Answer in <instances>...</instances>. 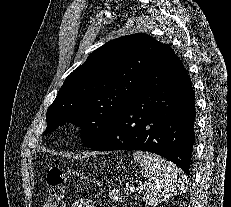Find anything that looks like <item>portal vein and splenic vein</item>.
Listing matches in <instances>:
<instances>
[{
  "mask_svg": "<svg viewBox=\"0 0 231 207\" xmlns=\"http://www.w3.org/2000/svg\"><path fill=\"white\" fill-rule=\"evenodd\" d=\"M145 187V185H142V184H140L139 186H132L131 188H130V190L132 191V192H135V191H138L139 189H143Z\"/></svg>",
  "mask_w": 231,
  "mask_h": 207,
  "instance_id": "1",
  "label": "portal vein and splenic vein"
}]
</instances>
